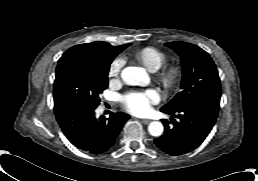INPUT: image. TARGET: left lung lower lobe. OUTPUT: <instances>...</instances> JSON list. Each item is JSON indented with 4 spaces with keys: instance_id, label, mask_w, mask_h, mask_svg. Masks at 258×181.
<instances>
[{
    "instance_id": "0a47b994",
    "label": "left lung lower lobe",
    "mask_w": 258,
    "mask_h": 181,
    "mask_svg": "<svg viewBox=\"0 0 258 181\" xmlns=\"http://www.w3.org/2000/svg\"><path fill=\"white\" fill-rule=\"evenodd\" d=\"M219 103L201 102L177 111L162 112L169 114L178 121L162 120L165 132L156 138L154 143L163 152L169 155H182L196 149L211 131L218 112ZM172 123V126L169 124Z\"/></svg>"
}]
</instances>
